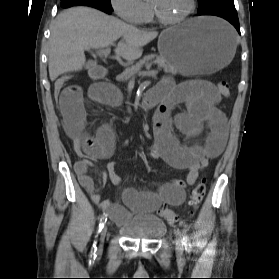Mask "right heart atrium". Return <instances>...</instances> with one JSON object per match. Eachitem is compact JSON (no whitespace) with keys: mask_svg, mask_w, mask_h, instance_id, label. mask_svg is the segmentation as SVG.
<instances>
[{"mask_svg":"<svg viewBox=\"0 0 279 279\" xmlns=\"http://www.w3.org/2000/svg\"><path fill=\"white\" fill-rule=\"evenodd\" d=\"M115 13L129 23H141L148 5L143 0H110Z\"/></svg>","mask_w":279,"mask_h":279,"instance_id":"obj_1","label":"right heart atrium"}]
</instances>
